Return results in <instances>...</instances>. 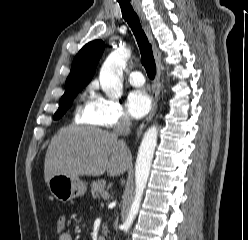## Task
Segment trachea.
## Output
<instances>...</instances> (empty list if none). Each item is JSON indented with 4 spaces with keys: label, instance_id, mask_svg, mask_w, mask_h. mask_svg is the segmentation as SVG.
<instances>
[{
    "label": "trachea",
    "instance_id": "3493384b",
    "mask_svg": "<svg viewBox=\"0 0 248 240\" xmlns=\"http://www.w3.org/2000/svg\"><path fill=\"white\" fill-rule=\"evenodd\" d=\"M124 20L131 28L141 53V62L146 69L147 75L150 79H154L156 74V64L152 52V46L141 26L139 17L134 11L129 1H119Z\"/></svg>",
    "mask_w": 248,
    "mask_h": 240
}]
</instances>
